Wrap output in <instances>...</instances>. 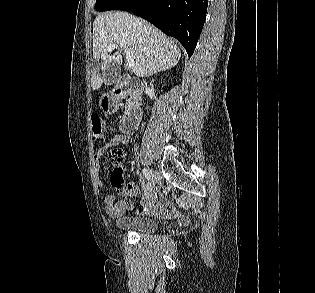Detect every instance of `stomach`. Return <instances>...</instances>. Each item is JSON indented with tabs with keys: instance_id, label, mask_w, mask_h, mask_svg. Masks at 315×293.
Returning <instances> with one entry per match:
<instances>
[{
	"instance_id": "stomach-1",
	"label": "stomach",
	"mask_w": 315,
	"mask_h": 293,
	"mask_svg": "<svg viewBox=\"0 0 315 293\" xmlns=\"http://www.w3.org/2000/svg\"><path fill=\"white\" fill-rule=\"evenodd\" d=\"M121 102L119 92H102V96L99 99V106L104 112H111L112 110H118Z\"/></svg>"
}]
</instances>
